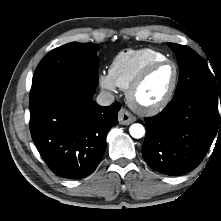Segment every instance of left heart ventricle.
<instances>
[{
  "label": "left heart ventricle",
  "mask_w": 221,
  "mask_h": 221,
  "mask_svg": "<svg viewBox=\"0 0 221 221\" xmlns=\"http://www.w3.org/2000/svg\"><path fill=\"white\" fill-rule=\"evenodd\" d=\"M174 76L172 65L165 64L155 68L136 93L137 101L142 105L158 102L167 92Z\"/></svg>",
  "instance_id": "left-heart-ventricle-1"
}]
</instances>
